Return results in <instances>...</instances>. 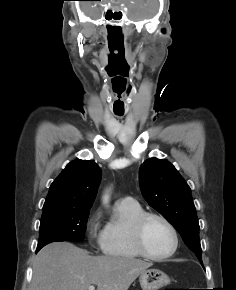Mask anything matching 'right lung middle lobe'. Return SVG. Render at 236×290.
Segmentation results:
<instances>
[{
	"mask_svg": "<svg viewBox=\"0 0 236 290\" xmlns=\"http://www.w3.org/2000/svg\"><path fill=\"white\" fill-rule=\"evenodd\" d=\"M89 210L43 211L37 251L54 241H82L85 237Z\"/></svg>",
	"mask_w": 236,
	"mask_h": 290,
	"instance_id": "dd1d6c3e",
	"label": "right lung middle lobe"
}]
</instances>
